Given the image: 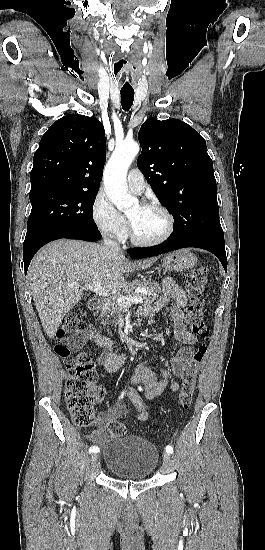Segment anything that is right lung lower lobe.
Returning <instances> with one entry per match:
<instances>
[{
	"label": "right lung lower lobe",
	"instance_id": "right-lung-lower-lobe-1",
	"mask_svg": "<svg viewBox=\"0 0 265 550\" xmlns=\"http://www.w3.org/2000/svg\"><path fill=\"white\" fill-rule=\"evenodd\" d=\"M68 238V239H80L85 241L94 242L101 238V233L99 230H85V229H76V228H67L56 231L48 236L42 237L27 246L23 247V260H24V269L25 274L27 273L31 259L35 253L45 244L50 241Z\"/></svg>",
	"mask_w": 265,
	"mask_h": 550
}]
</instances>
